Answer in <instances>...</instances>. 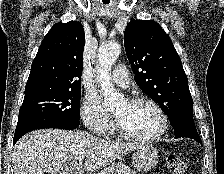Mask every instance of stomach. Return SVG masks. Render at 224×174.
Here are the masks:
<instances>
[{
  "instance_id": "0dacf381",
  "label": "stomach",
  "mask_w": 224,
  "mask_h": 174,
  "mask_svg": "<svg viewBox=\"0 0 224 174\" xmlns=\"http://www.w3.org/2000/svg\"><path fill=\"white\" fill-rule=\"evenodd\" d=\"M159 160V154L155 147L141 144L132 155V165L137 171H150Z\"/></svg>"
}]
</instances>
